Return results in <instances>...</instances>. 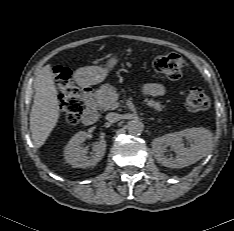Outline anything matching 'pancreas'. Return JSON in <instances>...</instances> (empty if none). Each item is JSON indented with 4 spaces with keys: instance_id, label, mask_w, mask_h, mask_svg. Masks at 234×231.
<instances>
[{
    "instance_id": "cf45deb5",
    "label": "pancreas",
    "mask_w": 234,
    "mask_h": 231,
    "mask_svg": "<svg viewBox=\"0 0 234 231\" xmlns=\"http://www.w3.org/2000/svg\"><path fill=\"white\" fill-rule=\"evenodd\" d=\"M116 94L115 87L110 84H103L100 89L95 92L96 106L100 110H114L118 108L119 103L114 99ZM145 102L150 108H153L156 111H162L165 108L164 105L153 99H146Z\"/></svg>"
}]
</instances>
